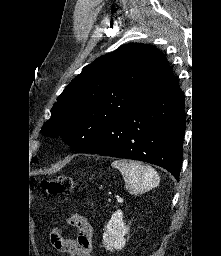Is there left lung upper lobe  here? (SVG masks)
Instances as JSON below:
<instances>
[{
  "label": "left lung upper lobe",
  "mask_w": 221,
  "mask_h": 256,
  "mask_svg": "<svg viewBox=\"0 0 221 256\" xmlns=\"http://www.w3.org/2000/svg\"><path fill=\"white\" fill-rule=\"evenodd\" d=\"M172 77L158 49L137 43L121 46L83 68L57 98L41 132L62 137L76 151Z\"/></svg>",
  "instance_id": "left-lung-upper-lobe-1"
}]
</instances>
